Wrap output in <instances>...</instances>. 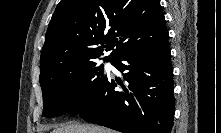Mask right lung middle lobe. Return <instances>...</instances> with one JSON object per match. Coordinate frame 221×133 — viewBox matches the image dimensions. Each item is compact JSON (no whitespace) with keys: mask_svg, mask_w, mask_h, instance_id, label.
I'll list each match as a JSON object with an SVG mask.
<instances>
[{"mask_svg":"<svg viewBox=\"0 0 221 133\" xmlns=\"http://www.w3.org/2000/svg\"><path fill=\"white\" fill-rule=\"evenodd\" d=\"M108 78L103 73V65L98 66L95 62L63 63L49 67L40 75L43 116L77 115Z\"/></svg>","mask_w":221,"mask_h":133,"instance_id":"dd1d6c3e","label":"right lung middle lobe"}]
</instances>
